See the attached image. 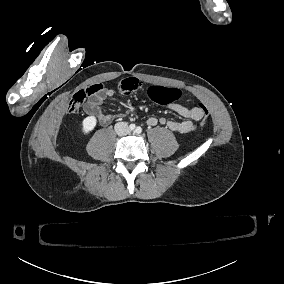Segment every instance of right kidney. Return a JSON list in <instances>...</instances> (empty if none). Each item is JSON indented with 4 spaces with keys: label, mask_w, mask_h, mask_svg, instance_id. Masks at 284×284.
Here are the masks:
<instances>
[{
    "label": "right kidney",
    "mask_w": 284,
    "mask_h": 284,
    "mask_svg": "<svg viewBox=\"0 0 284 284\" xmlns=\"http://www.w3.org/2000/svg\"><path fill=\"white\" fill-rule=\"evenodd\" d=\"M98 123L95 115H89L82 120L80 132L83 136H88L96 128Z\"/></svg>",
    "instance_id": "ca27d5eb"
}]
</instances>
